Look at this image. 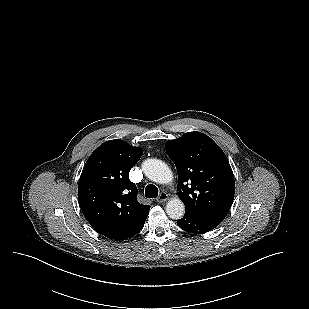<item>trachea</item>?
<instances>
[{
	"instance_id": "1",
	"label": "trachea",
	"mask_w": 309,
	"mask_h": 309,
	"mask_svg": "<svg viewBox=\"0 0 309 309\" xmlns=\"http://www.w3.org/2000/svg\"><path fill=\"white\" fill-rule=\"evenodd\" d=\"M145 196L147 198H156L158 196V188L153 184L147 185L145 188Z\"/></svg>"
}]
</instances>
